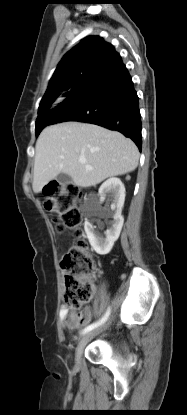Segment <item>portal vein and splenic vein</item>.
Segmentation results:
<instances>
[{"label": "portal vein and splenic vein", "mask_w": 187, "mask_h": 415, "mask_svg": "<svg viewBox=\"0 0 187 415\" xmlns=\"http://www.w3.org/2000/svg\"><path fill=\"white\" fill-rule=\"evenodd\" d=\"M79 161H80L82 164H85V162H86L84 158H80V159H79ZM86 168H87V169H90V170L92 169V167H90V166H88V165L86 166Z\"/></svg>", "instance_id": "portal-vein-and-splenic-vein-1"}]
</instances>
